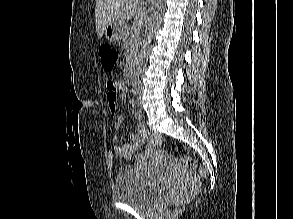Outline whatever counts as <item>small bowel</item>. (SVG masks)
Here are the masks:
<instances>
[{"label":"small bowel","mask_w":293,"mask_h":219,"mask_svg":"<svg viewBox=\"0 0 293 219\" xmlns=\"http://www.w3.org/2000/svg\"><path fill=\"white\" fill-rule=\"evenodd\" d=\"M107 87V100L111 112L114 114L116 111L118 100H124L127 96V88L122 81H108ZM124 123L121 115H115L113 126L115 130H119ZM131 142L119 144V137L115 135L113 142L115 143V152L122 158L130 159L136 150L145 142L147 138V131L142 124H138L135 129L129 132Z\"/></svg>","instance_id":"small-bowel-1"}]
</instances>
